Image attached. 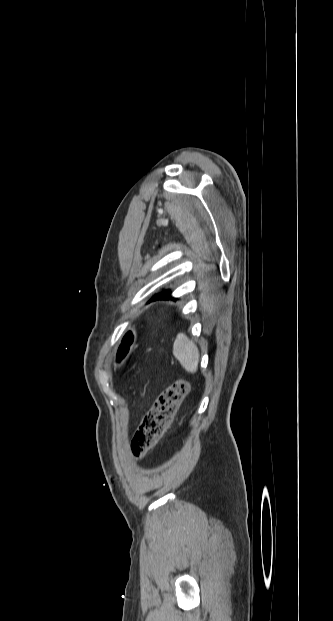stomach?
I'll return each mask as SVG.
<instances>
[{"instance_id": "1", "label": "stomach", "mask_w": 333, "mask_h": 621, "mask_svg": "<svg viewBox=\"0 0 333 621\" xmlns=\"http://www.w3.org/2000/svg\"><path fill=\"white\" fill-rule=\"evenodd\" d=\"M129 336H130V339H132L131 334H129ZM120 349H121L122 351H127V350L129 349V344H128L127 342H122V343L120 344ZM116 360H117L118 362H123V361L125 360V355H124L123 353H118V354L116 355Z\"/></svg>"}]
</instances>
